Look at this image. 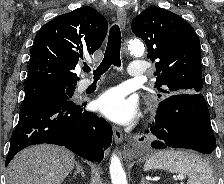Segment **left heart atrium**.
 I'll list each match as a JSON object with an SVG mask.
<instances>
[{
  "mask_svg": "<svg viewBox=\"0 0 224 184\" xmlns=\"http://www.w3.org/2000/svg\"><path fill=\"white\" fill-rule=\"evenodd\" d=\"M96 106L107 118L121 124L132 121L137 111L136 102L126 98L123 92L117 88L103 93L97 99Z\"/></svg>",
  "mask_w": 224,
  "mask_h": 184,
  "instance_id": "left-heart-atrium-1",
  "label": "left heart atrium"
}]
</instances>
